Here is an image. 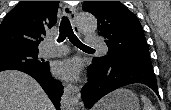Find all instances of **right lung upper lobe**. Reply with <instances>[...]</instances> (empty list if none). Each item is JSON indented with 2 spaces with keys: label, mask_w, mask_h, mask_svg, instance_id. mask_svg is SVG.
Returning a JSON list of instances; mask_svg holds the SVG:
<instances>
[{
  "label": "right lung upper lobe",
  "mask_w": 171,
  "mask_h": 110,
  "mask_svg": "<svg viewBox=\"0 0 171 110\" xmlns=\"http://www.w3.org/2000/svg\"><path fill=\"white\" fill-rule=\"evenodd\" d=\"M59 1H21L0 25V46L37 48L57 21Z\"/></svg>",
  "instance_id": "cb5924a9"
}]
</instances>
